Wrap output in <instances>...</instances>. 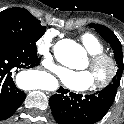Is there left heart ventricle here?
I'll return each mask as SVG.
<instances>
[{
	"label": "left heart ventricle",
	"mask_w": 124,
	"mask_h": 124,
	"mask_svg": "<svg viewBox=\"0 0 124 124\" xmlns=\"http://www.w3.org/2000/svg\"><path fill=\"white\" fill-rule=\"evenodd\" d=\"M82 68L83 69H86V68L89 69V71L92 74L94 82L101 79L107 72V66L104 64L91 68L89 60H87L86 64Z\"/></svg>",
	"instance_id": "b2bd125f"
}]
</instances>
